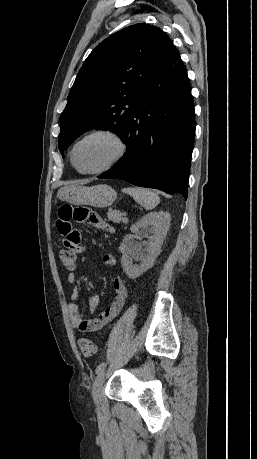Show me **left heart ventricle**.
<instances>
[{
	"label": "left heart ventricle",
	"mask_w": 257,
	"mask_h": 459,
	"mask_svg": "<svg viewBox=\"0 0 257 459\" xmlns=\"http://www.w3.org/2000/svg\"><path fill=\"white\" fill-rule=\"evenodd\" d=\"M115 143L108 137L97 136L82 142L75 151V162L83 171L106 164L116 153Z\"/></svg>",
	"instance_id": "b2bd125f"
}]
</instances>
